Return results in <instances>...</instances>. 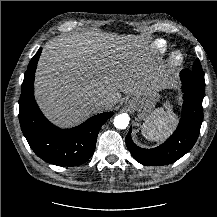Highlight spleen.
<instances>
[{
	"mask_svg": "<svg viewBox=\"0 0 217 217\" xmlns=\"http://www.w3.org/2000/svg\"><path fill=\"white\" fill-rule=\"evenodd\" d=\"M177 118L171 111L156 109L143 124V136L152 141L164 140L176 125Z\"/></svg>",
	"mask_w": 217,
	"mask_h": 217,
	"instance_id": "1",
	"label": "spleen"
}]
</instances>
